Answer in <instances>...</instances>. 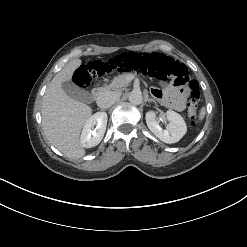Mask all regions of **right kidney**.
Segmentation results:
<instances>
[{
	"label": "right kidney",
	"mask_w": 247,
	"mask_h": 247,
	"mask_svg": "<svg viewBox=\"0 0 247 247\" xmlns=\"http://www.w3.org/2000/svg\"><path fill=\"white\" fill-rule=\"evenodd\" d=\"M106 126L107 114L105 112H97L92 115L83 127L80 137L81 146L84 148L97 146L103 139Z\"/></svg>",
	"instance_id": "ca27d5eb"
}]
</instances>
